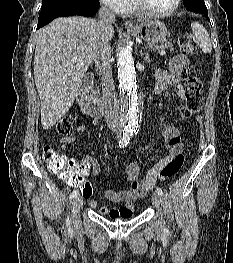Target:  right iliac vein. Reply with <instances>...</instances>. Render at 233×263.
I'll list each match as a JSON object with an SVG mask.
<instances>
[{"label": "right iliac vein", "instance_id": "obj_1", "mask_svg": "<svg viewBox=\"0 0 233 263\" xmlns=\"http://www.w3.org/2000/svg\"><path fill=\"white\" fill-rule=\"evenodd\" d=\"M81 206H82V197L80 195H77L74 197L71 207V218L75 225H78L80 222L79 210Z\"/></svg>", "mask_w": 233, "mask_h": 263}]
</instances>
